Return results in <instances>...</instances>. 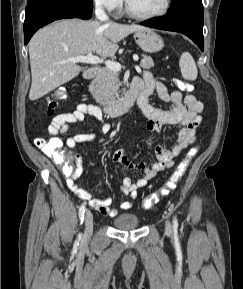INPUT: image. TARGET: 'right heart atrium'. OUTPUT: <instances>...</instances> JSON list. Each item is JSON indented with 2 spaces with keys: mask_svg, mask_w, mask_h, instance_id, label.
Instances as JSON below:
<instances>
[{
  "mask_svg": "<svg viewBox=\"0 0 243 289\" xmlns=\"http://www.w3.org/2000/svg\"><path fill=\"white\" fill-rule=\"evenodd\" d=\"M96 5L113 13H118L122 7V0H94Z\"/></svg>",
  "mask_w": 243,
  "mask_h": 289,
  "instance_id": "obj_1",
  "label": "right heart atrium"
}]
</instances>
